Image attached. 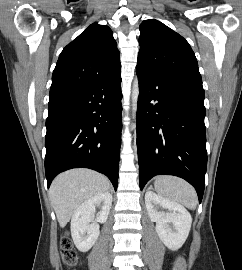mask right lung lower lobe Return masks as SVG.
I'll return each mask as SVG.
<instances>
[{"label": "right lung lower lobe", "instance_id": "98d812e1", "mask_svg": "<svg viewBox=\"0 0 242 270\" xmlns=\"http://www.w3.org/2000/svg\"><path fill=\"white\" fill-rule=\"evenodd\" d=\"M121 71L49 99L45 137L48 188L65 170L84 167L118 185L121 145Z\"/></svg>", "mask_w": 242, "mask_h": 270}]
</instances>
